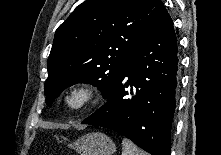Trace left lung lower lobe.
I'll list each match as a JSON object with an SVG mask.
<instances>
[{
    "label": "left lung lower lobe",
    "instance_id": "left-lung-lower-lobe-1",
    "mask_svg": "<svg viewBox=\"0 0 221 155\" xmlns=\"http://www.w3.org/2000/svg\"><path fill=\"white\" fill-rule=\"evenodd\" d=\"M177 82V41L164 7L133 50L107 102L82 124L116 131L152 155H170Z\"/></svg>",
    "mask_w": 221,
    "mask_h": 155
}]
</instances>
